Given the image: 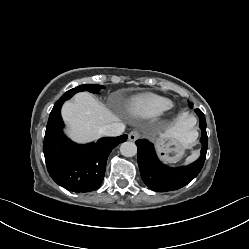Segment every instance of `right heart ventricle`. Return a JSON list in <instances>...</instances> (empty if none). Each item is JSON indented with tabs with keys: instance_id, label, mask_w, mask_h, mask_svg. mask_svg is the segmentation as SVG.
Segmentation results:
<instances>
[{
	"instance_id": "obj_1",
	"label": "right heart ventricle",
	"mask_w": 249,
	"mask_h": 249,
	"mask_svg": "<svg viewBox=\"0 0 249 249\" xmlns=\"http://www.w3.org/2000/svg\"><path fill=\"white\" fill-rule=\"evenodd\" d=\"M172 102L162 96L147 93L135 97L128 104V109L135 114L144 117H153L162 114L170 109Z\"/></svg>"
}]
</instances>
